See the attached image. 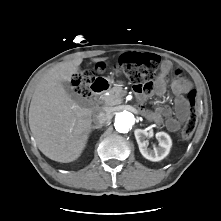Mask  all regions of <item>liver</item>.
<instances>
[{
	"mask_svg": "<svg viewBox=\"0 0 221 221\" xmlns=\"http://www.w3.org/2000/svg\"><path fill=\"white\" fill-rule=\"evenodd\" d=\"M81 63L78 58L49 69L36 84L30 103L29 126L36 144L45 156L57 162L78 159L90 134L94 109L78 105L62 85L78 72Z\"/></svg>",
	"mask_w": 221,
	"mask_h": 221,
	"instance_id": "obj_1",
	"label": "liver"
}]
</instances>
